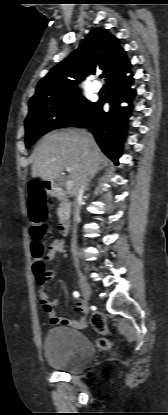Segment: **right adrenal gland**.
<instances>
[{
    "label": "right adrenal gland",
    "instance_id": "obj_1",
    "mask_svg": "<svg viewBox=\"0 0 168 415\" xmlns=\"http://www.w3.org/2000/svg\"><path fill=\"white\" fill-rule=\"evenodd\" d=\"M93 177H94V176H91V177L87 180V183H86V188H85V190H86V191H88V190H89V184H90L91 180L93 179Z\"/></svg>",
    "mask_w": 168,
    "mask_h": 415
}]
</instances>
